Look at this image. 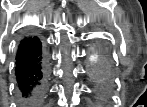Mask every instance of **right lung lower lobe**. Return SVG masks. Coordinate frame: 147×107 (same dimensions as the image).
<instances>
[{
	"label": "right lung lower lobe",
	"mask_w": 147,
	"mask_h": 107,
	"mask_svg": "<svg viewBox=\"0 0 147 107\" xmlns=\"http://www.w3.org/2000/svg\"><path fill=\"white\" fill-rule=\"evenodd\" d=\"M15 75L22 107H37L46 92L48 78L45 54L37 36L28 35L21 39Z\"/></svg>",
	"instance_id": "1"
}]
</instances>
